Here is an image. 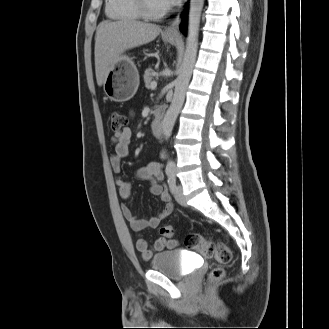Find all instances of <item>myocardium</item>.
<instances>
[{
	"mask_svg": "<svg viewBox=\"0 0 329 329\" xmlns=\"http://www.w3.org/2000/svg\"><path fill=\"white\" fill-rule=\"evenodd\" d=\"M136 4L137 7L142 15V17H144L145 19L148 20H157L160 19L162 17H164L170 10L169 7L161 10V11H153L148 3V0H136Z\"/></svg>",
	"mask_w": 329,
	"mask_h": 329,
	"instance_id": "1",
	"label": "myocardium"
}]
</instances>
